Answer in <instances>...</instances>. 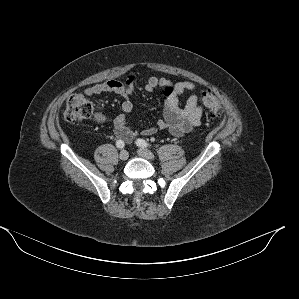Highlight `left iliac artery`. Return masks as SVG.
I'll return each mask as SVG.
<instances>
[{"label":"left iliac artery","instance_id":"obj_1","mask_svg":"<svg viewBox=\"0 0 299 299\" xmlns=\"http://www.w3.org/2000/svg\"><path fill=\"white\" fill-rule=\"evenodd\" d=\"M137 146H140L142 148L150 147L149 143L145 141L144 139H137L136 141Z\"/></svg>","mask_w":299,"mask_h":299}]
</instances>
